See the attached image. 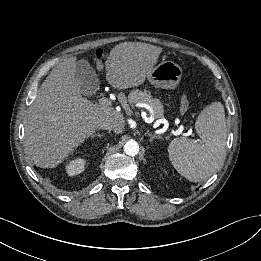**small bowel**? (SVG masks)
<instances>
[{
  "mask_svg": "<svg viewBox=\"0 0 261 261\" xmlns=\"http://www.w3.org/2000/svg\"><path fill=\"white\" fill-rule=\"evenodd\" d=\"M189 106V101L186 95H183L180 102V109L182 112H185Z\"/></svg>",
  "mask_w": 261,
  "mask_h": 261,
  "instance_id": "obj_1",
  "label": "small bowel"
}]
</instances>
